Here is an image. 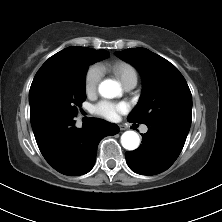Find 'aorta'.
Wrapping results in <instances>:
<instances>
[{"instance_id": "762f6f07", "label": "aorta", "mask_w": 222, "mask_h": 222, "mask_svg": "<svg viewBox=\"0 0 222 222\" xmlns=\"http://www.w3.org/2000/svg\"><path fill=\"white\" fill-rule=\"evenodd\" d=\"M98 91L104 98H114L120 93L121 89L118 82L107 79L99 84ZM139 143V135L134 131H126L121 136V144L126 150L132 151L137 149Z\"/></svg>"}]
</instances>
